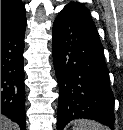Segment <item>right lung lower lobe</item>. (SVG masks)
<instances>
[{"label":"right lung lower lobe","mask_w":123,"mask_h":130,"mask_svg":"<svg viewBox=\"0 0 123 130\" xmlns=\"http://www.w3.org/2000/svg\"><path fill=\"white\" fill-rule=\"evenodd\" d=\"M26 21L1 26V112L26 129L24 87V35Z\"/></svg>","instance_id":"obj_1"}]
</instances>
